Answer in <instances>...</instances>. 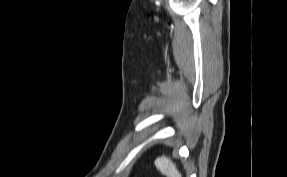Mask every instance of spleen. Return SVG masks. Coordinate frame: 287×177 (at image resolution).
<instances>
[{
    "instance_id": "3e777b00",
    "label": "spleen",
    "mask_w": 287,
    "mask_h": 177,
    "mask_svg": "<svg viewBox=\"0 0 287 177\" xmlns=\"http://www.w3.org/2000/svg\"><path fill=\"white\" fill-rule=\"evenodd\" d=\"M156 168L167 177H182L176 165L167 157H159L154 162Z\"/></svg>"
}]
</instances>
